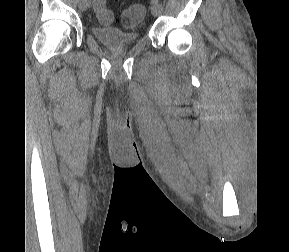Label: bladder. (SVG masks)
<instances>
[{
    "label": "bladder",
    "instance_id": "obj_1",
    "mask_svg": "<svg viewBox=\"0 0 289 252\" xmlns=\"http://www.w3.org/2000/svg\"><path fill=\"white\" fill-rule=\"evenodd\" d=\"M92 33L108 47H122L134 44L139 39L137 31H123L114 27L93 26Z\"/></svg>",
    "mask_w": 289,
    "mask_h": 252
}]
</instances>
